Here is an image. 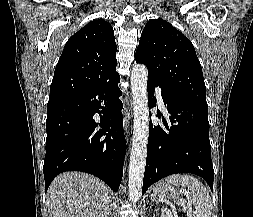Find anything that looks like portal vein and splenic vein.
Masks as SVG:
<instances>
[{
    "label": "portal vein and splenic vein",
    "instance_id": "1",
    "mask_svg": "<svg viewBox=\"0 0 253 217\" xmlns=\"http://www.w3.org/2000/svg\"><path fill=\"white\" fill-rule=\"evenodd\" d=\"M163 211H165L167 214H170L171 212L169 211V210H167V209H163ZM187 214L189 215V216H191L192 215V211H187Z\"/></svg>",
    "mask_w": 253,
    "mask_h": 217
}]
</instances>
